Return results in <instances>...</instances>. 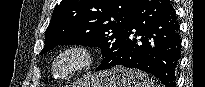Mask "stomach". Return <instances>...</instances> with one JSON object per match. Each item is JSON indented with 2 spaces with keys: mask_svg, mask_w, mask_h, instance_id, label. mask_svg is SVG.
Wrapping results in <instances>:
<instances>
[{
  "mask_svg": "<svg viewBox=\"0 0 205 87\" xmlns=\"http://www.w3.org/2000/svg\"><path fill=\"white\" fill-rule=\"evenodd\" d=\"M76 87H151V82L140 70L117 67L94 73Z\"/></svg>",
  "mask_w": 205,
  "mask_h": 87,
  "instance_id": "obj_1",
  "label": "stomach"
}]
</instances>
